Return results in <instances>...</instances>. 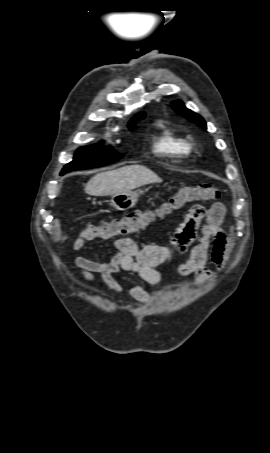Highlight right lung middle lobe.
Segmentation results:
<instances>
[{"label":"right lung middle lobe","instance_id":"dd1d6c3e","mask_svg":"<svg viewBox=\"0 0 270 453\" xmlns=\"http://www.w3.org/2000/svg\"><path fill=\"white\" fill-rule=\"evenodd\" d=\"M133 128L134 125L129 127L130 130ZM122 157V154L117 153L111 148L102 149L99 146L82 147L76 152L73 161L65 165L61 175L72 170L104 166Z\"/></svg>","mask_w":270,"mask_h":453}]
</instances>
